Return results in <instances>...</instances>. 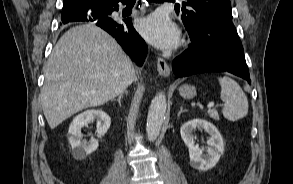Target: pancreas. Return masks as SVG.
Masks as SVG:
<instances>
[{
	"mask_svg": "<svg viewBox=\"0 0 293 184\" xmlns=\"http://www.w3.org/2000/svg\"><path fill=\"white\" fill-rule=\"evenodd\" d=\"M208 115H209V117H211V118H213L215 120H219V115H218V112L216 110H209Z\"/></svg>",
	"mask_w": 293,
	"mask_h": 184,
	"instance_id": "obj_1",
	"label": "pancreas"
}]
</instances>
